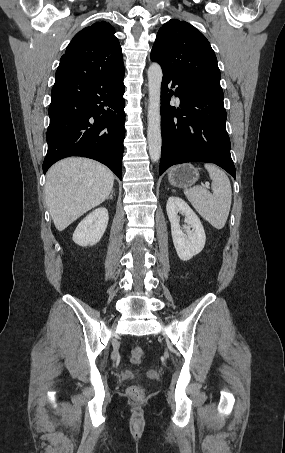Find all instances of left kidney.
I'll list each match as a JSON object with an SVG mask.
<instances>
[{
    "mask_svg": "<svg viewBox=\"0 0 285 453\" xmlns=\"http://www.w3.org/2000/svg\"><path fill=\"white\" fill-rule=\"evenodd\" d=\"M166 211L171 224V234L176 252L181 260L188 261L200 253L205 246L206 235L203 225L196 213L179 197L168 198ZM179 213L185 216L186 233L180 228Z\"/></svg>",
    "mask_w": 285,
    "mask_h": 453,
    "instance_id": "left-kidney-1",
    "label": "left kidney"
}]
</instances>
